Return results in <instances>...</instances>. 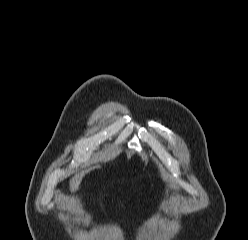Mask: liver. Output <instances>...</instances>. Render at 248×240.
<instances>
[{"label": "liver", "instance_id": "1", "mask_svg": "<svg viewBox=\"0 0 248 240\" xmlns=\"http://www.w3.org/2000/svg\"><path fill=\"white\" fill-rule=\"evenodd\" d=\"M84 175H85V172L83 171V172L76 174L74 177H72V179L70 180L71 192H75L79 189L80 183Z\"/></svg>", "mask_w": 248, "mask_h": 240}]
</instances>
